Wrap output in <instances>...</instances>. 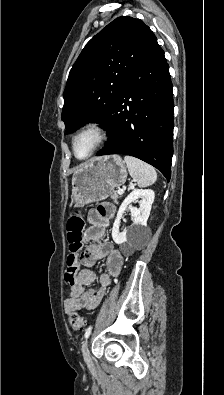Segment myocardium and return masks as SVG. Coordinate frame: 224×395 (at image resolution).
<instances>
[{
    "label": "myocardium",
    "instance_id": "1",
    "mask_svg": "<svg viewBox=\"0 0 224 395\" xmlns=\"http://www.w3.org/2000/svg\"><path fill=\"white\" fill-rule=\"evenodd\" d=\"M87 133H91L94 135L95 137V142L94 145L92 147V150L90 151V153L84 157V158H79L76 156L75 153V143L77 141V139ZM107 138V130L104 127V125L98 121H88L85 124H83L81 126V128L76 132V134L74 135L73 139H72V152L73 155L75 156L76 159L78 160H86L89 159L105 142Z\"/></svg>",
    "mask_w": 224,
    "mask_h": 395
}]
</instances>
